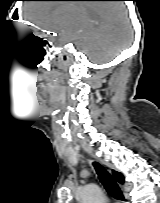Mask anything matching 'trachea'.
<instances>
[{
  "instance_id": "1",
  "label": "trachea",
  "mask_w": 160,
  "mask_h": 203,
  "mask_svg": "<svg viewBox=\"0 0 160 203\" xmlns=\"http://www.w3.org/2000/svg\"><path fill=\"white\" fill-rule=\"evenodd\" d=\"M93 166L98 174L99 180L103 184L108 194L116 199L124 201L122 191L110 173L97 162H93Z\"/></svg>"
}]
</instances>
